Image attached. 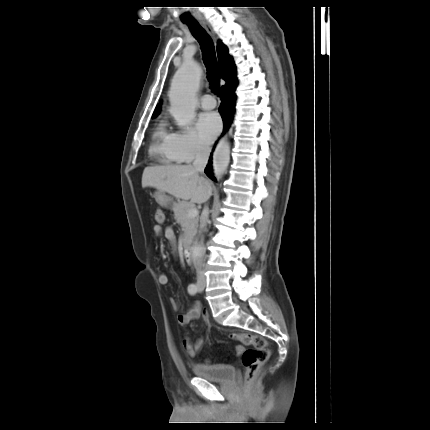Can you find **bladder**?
<instances>
[{
    "label": "bladder",
    "instance_id": "1",
    "mask_svg": "<svg viewBox=\"0 0 430 430\" xmlns=\"http://www.w3.org/2000/svg\"><path fill=\"white\" fill-rule=\"evenodd\" d=\"M192 371L197 377L223 384L231 382L236 374L235 367L230 364H196Z\"/></svg>",
    "mask_w": 430,
    "mask_h": 430
}]
</instances>
